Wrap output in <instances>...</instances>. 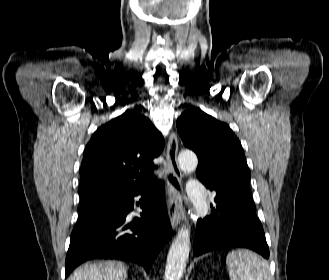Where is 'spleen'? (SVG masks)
Instances as JSON below:
<instances>
[{
	"label": "spleen",
	"instance_id": "spleen-1",
	"mask_svg": "<svg viewBox=\"0 0 329 280\" xmlns=\"http://www.w3.org/2000/svg\"><path fill=\"white\" fill-rule=\"evenodd\" d=\"M230 280H268L266 263L255 253L240 249L226 257Z\"/></svg>",
	"mask_w": 329,
	"mask_h": 280
}]
</instances>
